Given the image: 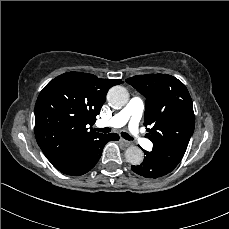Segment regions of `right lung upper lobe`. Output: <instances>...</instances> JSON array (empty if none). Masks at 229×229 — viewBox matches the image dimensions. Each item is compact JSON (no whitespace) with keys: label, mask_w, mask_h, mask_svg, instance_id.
<instances>
[{"label":"right lung upper lobe","mask_w":229,"mask_h":229,"mask_svg":"<svg viewBox=\"0 0 229 229\" xmlns=\"http://www.w3.org/2000/svg\"><path fill=\"white\" fill-rule=\"evenodd\" d=\"M121 83L93 74L67 72L40 92L35 105V137L56 169L100 135L86 126L95 123L108 90Z\"/></svg>","instance_id":"1"}]
</instances>
